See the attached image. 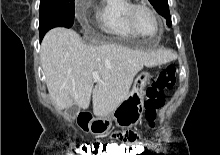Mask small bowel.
I'll return each instance as SVG.
<instances>
[{
  "mask_svg": "<svg viewBox=\"0 0 220 155\" xmlns=\"http://www.w3.org/2000/svg\"><path fill=\"white\" fill-rule=\"evenodd\" d=\"M118 130H113L114 137L112 138L114 141H137L140 137L139 126H118ZM95 145H102V140H95ZM106 146H126V145H119L115 143L107 144Z\"/></svg>",
  "mask_w": 220,
  "mask_h": 155,
  "instance_id": "obj_1",
  "label": "small bowel"
}]
</instances>
